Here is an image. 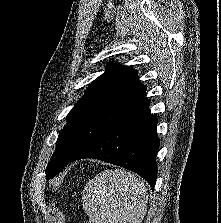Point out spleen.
<instances>
[{"label":"spleen","mask_w":221,"mask_h":223,"mask_svg":"<svg viewBox=\"0 0 221 223\" xmlns=\"http://www.w3.org/2000/svg\"><path fill=\"white\" fill-rule=\"evenodd\" d=\"M82 199L89 223H142L148 203L145 184L120 169L96 174L85 186Z\"/></svg>","instance_id":"obj_1"}]
</instances>
